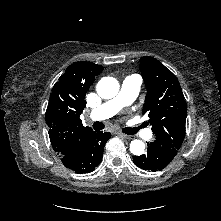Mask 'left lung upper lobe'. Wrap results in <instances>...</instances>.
I'll list each match as a JSON object with an SVG mask.
<instances>
[{
    "instance_id": "5c2ea615",
    "label": "left lung upper lobe",
    "mask_w": 221,
    "mask_h": 221,
    "mask_svg": "<svg viewBox=\"0 0 221 221\" xmlns=\"http://www.w3.org/2000/svg\"><path fill=\"white\" fill-rule=\"evenodd\" d=\"M140 70L148 93L143 114L150 117L155 142L179 149L185 134L187 106L176 76L157 59H140Z\"/></svg>"
}]
</instances>
